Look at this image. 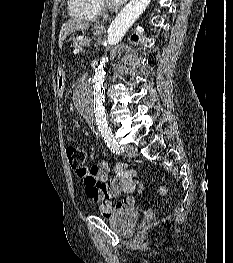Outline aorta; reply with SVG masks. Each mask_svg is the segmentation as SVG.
<instances>
[{"instance_id": "obj_1", "label": "aorta", "mask_w": 233, "mask_h": 263, "mask_svg": "<svg viewBox=\"0 0 233 263\" xmlns=\"http://www.w3.org/2000/svg\"><path fill=\"white\" fill-rule=\"evenodd\" d=\"M151 0H130L112 21L108 29L107 44L116 45L146 10ZM105 58L95 69L91 79L78 87L76 105L83 117L96 125L101 132L108 130L106 111L104 108V70Z\"/></svg>"}]
</instances>
